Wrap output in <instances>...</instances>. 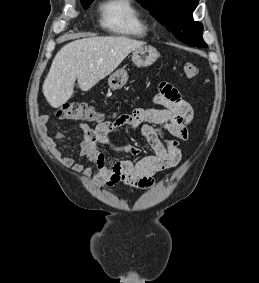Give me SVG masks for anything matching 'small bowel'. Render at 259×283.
Returning <instances> with one entry per match:
<instances>
[{
    "label": "small bowel",
    "instance_id": "1",
    "mask_svg": "<svg viewBox=\"0 0 259 283\" xmlns=\"http://www.w3.org/2000/svg\"><path fill=\"white\" fill-rule=\"evenodd\" d=\"M152 101L160 108L138 107L131 114H122L114 120L101 122L94 128L80 124L82 139L79 143V155L87 159L89 164L78 162L74 157H61L62 164L85 177L94 176L98 182L109 187L118 184L142 189L150 187L159 171L175 167L180 162L182 155L179 140L188 139V125L193 119L192 108L168 83L160 84L159 92L153 96ZM48 120L47 115L40 117L41 129L46 128ZM124 126L139 129L154 154L137 161L114 160L108 165L107 157L101 151L103 146L132 156L141 154V149L135 145L111 143L110 134ZM64 137L62 132L55 134L56 141Z\"/></svg>",
    "mask_w": 259,
    "mask_h": 283
}]
</instances>
